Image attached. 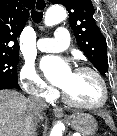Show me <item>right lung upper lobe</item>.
I'll return each instance as SVG.
<instances>
[{
  "mask_svg": "<svg viewBox=\"0 0 117 136\" xmlns=\"http://www.w3.org/2000/svg\"><path fill=\"white\" fill-rule=\"evenodd\" d=\"M34 5L35 0H0V56H18L17 37Z\"/></svg>",
  "mask_w": 117,
  "mask_h": 136,
  "instance_id": "right-lung-upper-lobe-1",
  "label": "right lung upper lobe"
}]
</instances>
